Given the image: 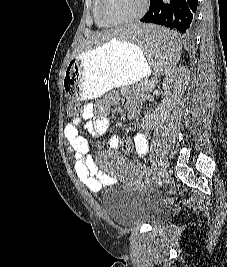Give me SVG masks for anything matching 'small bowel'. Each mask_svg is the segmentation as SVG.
<instances>
[{
    "label": "small bowel",
    "instance_id": "c3829d8e",
    "mask_svg": "<svg viewBox=\"0 0 227 267\" xmlns=\"http://www.w3.org/2000/svg\"><path fill=\"white\" fill-rule=\"evenodd\" d=\"M106 112L104 105L86 103L77 116H71L64 127V137L67 141L68 152L74 160V168L79 180L92 191H100L104 186L115 182L107 174L99 172L95 162L88 157V140L79 133V126L85 121V129L93 136L105 134L109 129V120L102 113ZM130 117L136 122L140 114L135 107L130 109ZM127 144L133 147L140 158L148 152V139L145 134L135 132L128 139ZM109 145L114 151L121 146L119 136L110 139Z\"/></svg>",
    "mask_w": 227,
    "mask_h": 267
}]
</instances>
